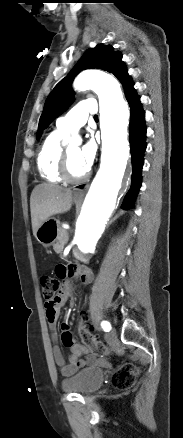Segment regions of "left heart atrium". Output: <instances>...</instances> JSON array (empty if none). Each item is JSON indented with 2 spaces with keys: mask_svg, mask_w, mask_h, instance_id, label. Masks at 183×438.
Masks as SVG:
<instances>
[{
  "mask_svg": "<svg viewBox=\"0 0 183 438\" xmlns=\"http://www.w3.org/2000/svg\"><path fill=\"white\" fill-rule=\"evenodd\" d=\"M96 143L94 140H89L81 149H80V157L82 163L87 168L90 169L91 165L94 162L96 156Z\"/></svg>",
  "mask_w": 183,
  "mask_h": 438,
  "instance_id": "39dd6f15",
  "label": "left heart atrium"
}]
</instances>
